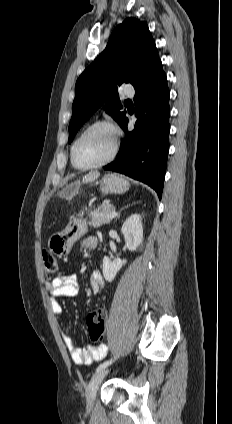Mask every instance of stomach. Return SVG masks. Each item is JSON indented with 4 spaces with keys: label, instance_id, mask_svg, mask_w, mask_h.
Masks as SVG:
<instances>
[{
    "label": "stomach",
    "instance_id": "obj_1",
    "mask_svg": "<svg viewBox=\"0 0 232 424\" xmlns=\"http://www.w3.org/2000/svg\"><path fill=\"white\" fill-rule=\"evenodd\" d=\"M130 187L129 182L116 174H107L100 181V190L107 194H122ZM87 232V222L77 219L68 224L64 231L52 234L48 239L49 251L57 257L69 254L73 244Z\"/></svg>",
    "mask_w": 232,
    "mask_h": 424
}]
</instances>
